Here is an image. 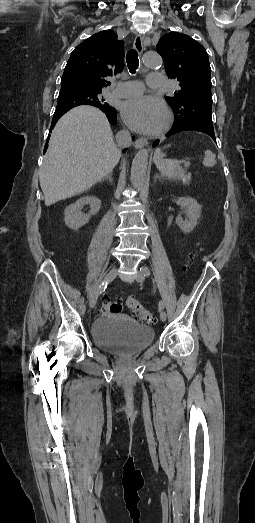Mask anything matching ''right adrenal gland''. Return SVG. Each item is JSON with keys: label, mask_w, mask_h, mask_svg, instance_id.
<instances>
[{"label": "right adrenal gland", "mask_w": 255, "mask_h": 523, "mask_svg": "<svg viewBox=\"0 0 255 523\" xmlns=\"http://www.w3.org/2000/svg\"><path fill=\"white\" fill-rule=\"evenodd\" d=\"M103 180H109V182H113V180H112V172H111V174H108V176H105V178H103Z\"/></svg>", "instance_id": "right-adrenal-gland-1"}]
</instances>
